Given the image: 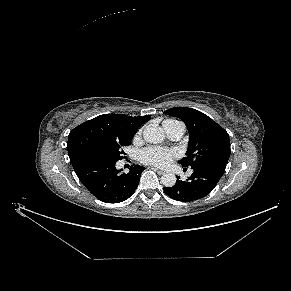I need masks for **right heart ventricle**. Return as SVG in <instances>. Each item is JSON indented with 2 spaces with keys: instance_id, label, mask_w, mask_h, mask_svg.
<instances>
[{
  "instance_id": "e07e8e85",
  "label": "right heart ventricle",
  "mask_w": 291,
  "mask_h": 291,
  "mask_svg": "<svg viewBox=\"0 0 291 291\" xmlns=\"http://www.w3.org/2000/svg\"><path fill=\"white\" fill-rule=\"evenodd\" d=\"M170 122H176V121H174V120H167V121L164 122L163 125H165V124H167V123H170Z\"/></svg>"
}]
</instances>
